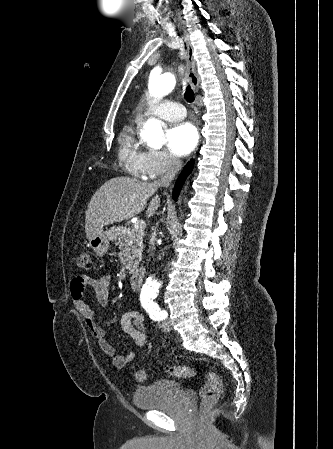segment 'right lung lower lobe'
I'll return each instance as SVG.
<instances>
[{
  "mask_svg": "<svg viewBox=\"0 0 333 449\" xmlns=\"http://www.w3.org/2000/svg\"><path fill=\"white\" fill-rule=\"evenodd\" d=\"M193 164H194V160H191L190 162H188V164L186 165L185 169L182 171V173L179 175L176 185L174 187V191H173V199L176 200L179 192L183 186V183L185 182L186 177L188 176V174L192 171L193 169Z\"/></svg>",
  "mask_w": 333,
  "mask_h": 449,
  "instance_id": "1",
  "label": "right lung lower lobe"
}]
</instances>
